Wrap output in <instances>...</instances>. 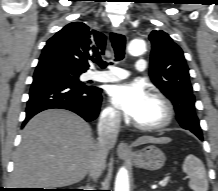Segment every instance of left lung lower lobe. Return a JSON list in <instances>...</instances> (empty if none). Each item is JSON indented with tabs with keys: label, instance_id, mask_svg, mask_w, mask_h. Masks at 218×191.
<instances>
[{
	"label": "left lung lower lobe",
	"instance_id": "1",
	"mask_svg": "<svg viewBox=\"0 0 218 191\" xmlns=\"http://www.w3.org/2000/svg\"><path fill=\"white\" fill-rule=\"evenodd\" d=\"M180 123V122H179ZM200 140L203 139L202 135H196Z\"/></svg>",
	"mask_w": 218,
	"mask_h": 191
}]
</instances>
